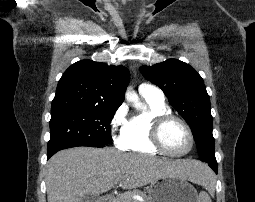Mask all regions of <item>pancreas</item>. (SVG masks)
<instances>
[{
	"mask_svg": "<svg viewBox=\"0 0 255 202\" xmlns=\"http://www.w3.org/2000/svg\"><path fill=\"white\" fill-rule=\"evenodd\" d=\"M134 195H140L144 198L145 202H149L146 194L140 190H133L122 193L115 198L114 202H137L133 199Z\"/></svg>",
	"mask_w": 255,
	"mask_h": 202,
	"instance_id": "pancreas-1",
	"label": "pancreas"
}]
</instances>
